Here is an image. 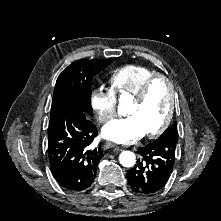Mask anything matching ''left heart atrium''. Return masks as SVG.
Instances as JSON below:
<instances>
[{
	"mask_svg": "<svg viewBox=\"0 0 221 221\" xmlns=\"http://www.w3.org/2000/svg\"><path fill=\"white\" fill-rule=\"evenodd\" d=\"M102 135L108 140L118 143H129L145 135L142 128L132 117L113 120L102 129Z\"/></svg>",
	"mask_w": 221,
	"mask_h": 221,
	"instance_id": "39dd6f15",
	"label": "left heart atrium"
}]
</instances>
